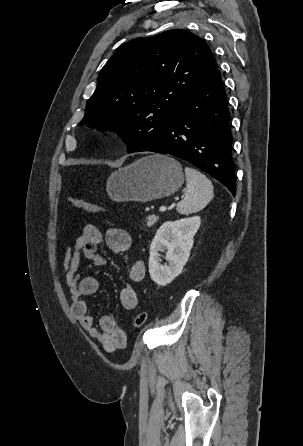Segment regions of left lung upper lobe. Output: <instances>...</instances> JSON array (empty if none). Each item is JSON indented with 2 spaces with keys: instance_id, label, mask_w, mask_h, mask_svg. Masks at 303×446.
Segmentation results:
<instances>
[{
  "instance_id": "obj_1",
  "label": "left lung upper lobe",
  "mask_w": 303,
  "mask_h": 446,
  "mask_svg": "<svg viewBox=\"0 0 303 446\" xmlns=\"http://www.w3.org/2000/svg\"><path fill=\"white\" fill-rule=\"evenodd\" d=\"M217 69L209 46L185 30L127 43L102 68L79 125L115 130L135 152L167 128Z\"/></svg>"
}]
</instances>
